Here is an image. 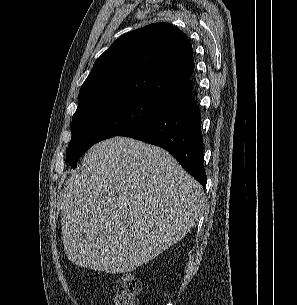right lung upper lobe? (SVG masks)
Instances as JSON below:
<instances>
[{
  "mask_svg": "<svg viewBox=\"0 0 297 305\" xmlns=\"http://www.w3.org/2000/svg\"><path fill=\"white\" fill-rule=\"evenodd\" d=\"M192 46L168 23H154L124 34L94 63L79 92L82 108L104 98L140 94L171 103L192 94Z\"/></svg>",
  "mask_w": 297,
  "mask_h": 305,
  "instance_id": "cb5924a9",
  "label": "right lung upper lobe"
}]
</instances>
